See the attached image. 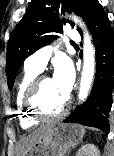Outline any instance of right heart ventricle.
Here are the masks:
<instances>
[{
    "label": "right heart ventricle",
    "mask_w": 114,
    "mask_h": 156,
    "mask_svg": "<svg viewBox=\"0 0 114 156\" xmlns=\"http://www.w3.org/2000/svg\"><path fill=\"white\" fill-rule=\"evenodd\" d=\"M41 71L25 65L24 71L17 83L15 91L16 114L23 129H28L38 123V119L31 116L24 104L26 91L31 82L39 75Z\"/></svg>",
    "instance_id": "obj_1"
}]
</instances>
